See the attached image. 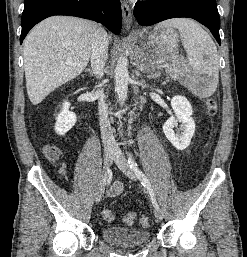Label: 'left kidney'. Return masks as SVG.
Returning a JSON list of instances; mask_svg holds the SVG:
<instances>
[{
    "mask_svg": "<svg viewBox=\"0 0 247 257\" xmlns=\"http://www.w3.org/2000/svg\"><path fill=\"white\" fill-rule=\"evenodd\" d=\"M171 106L175 116L170 117L164 123L163 132L177 150H184L189 146L195 132V122L191 117L192 106L186 97L180 95L172 98ZM178 121L181 122V134L174 131Z\"/></svg>",
    "mask_w": 247,
    "mask_h": 257,
    "instance_id": "1",
    "label": "left kidney"
}]
</instances>
